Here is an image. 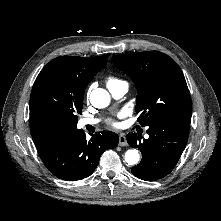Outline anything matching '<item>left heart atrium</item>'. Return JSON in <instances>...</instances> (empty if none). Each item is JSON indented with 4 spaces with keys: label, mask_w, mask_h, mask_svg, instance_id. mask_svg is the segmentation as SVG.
Masks as SVG:
<instances>
[{
    "label": "left heart atrium",
    "mask_w": 221,
    "mask_h": 221,
    "mask_svg": "<svg viewBox=\"0 0 221 221\" xmlns=\"http://www.w3.org/2000/svg\"><path fill=\"white\" fill-rule=\"evenodd\" d=\"M111 124H112L113 126H117V123L114 122V121H112Z\"/></svg>",
    "instance_id": "left-heart-atrium-1"
}]
</instances>
